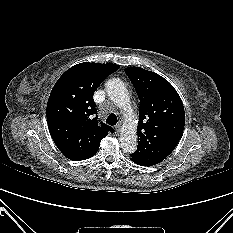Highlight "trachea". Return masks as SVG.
<instances>
[{
  "instance_id": "3493384b",
  "label": "trachea",
  "mask_w": 233,
  "mask_h": 233,
  "mask_svg": "<svg viewBox=\"0 0 233 233\" xmlns=\"http://www.w3.org/2000/svg\"><path fill=\"white\" fill-rule=\"evenodd\" d=\"M106 123L111 125V126H114L116 125L117 123V116L115 114H110L107 119H106Z\"/></svg>"
}]
</instances>
